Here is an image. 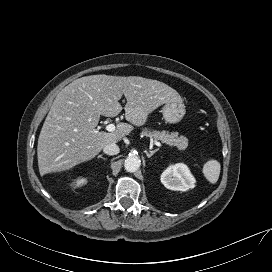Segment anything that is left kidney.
Segmentation results:
<instances>
[{"mask_svg":"<svg viewBox=\"0 0 272 272\" xmlns=\"http://www.w3.org/2000/svg\"><path fill=\"white\" fill-rule=\"evenodd\" d=\"M162 184L170 190L187 191L195 186V178L183 163L170 165L160 178Z\"/></svg>","mask_w":272,"mask_h":272,"instance_id":"1","label":"left kidney"}]
</instances>
